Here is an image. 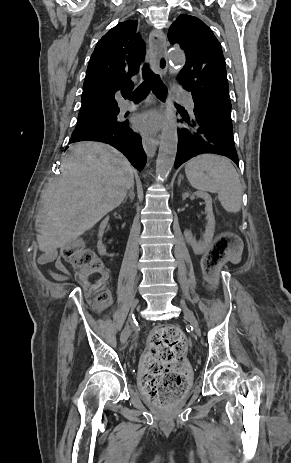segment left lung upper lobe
Here are the masks:
<instances>
[{
    "label": "left lung upper lobe",
    "instance_id": "5c2ea615",
    "mask_svg": "<svg viewBox=\"0 0 291 463\" xmlns=\"http://www.w3.org/2000/svg\"><path fill=\"white\" fill-rule=\"evenodd\" d=\"M168 39L171 44H179L186 54L178 77L191 92L197 110L232 124L225 59L212 30L200 19L182 14L170 26Z\"/></svg>",
    "mask_w": 291,
    "mask_h": 463
}]
</instances>
